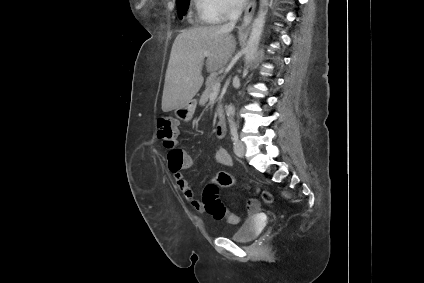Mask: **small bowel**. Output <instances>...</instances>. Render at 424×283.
Here are the masks:
<instances>
[{
	"label": "small bowel",
	"instance_id": "obj_1",
	"mask_svg": "<svg viewBox=\"0 0 424 283\" xmlns=\"http://www.w3.org/2000/svg\"><path fill=\"white\" fill-rule=\"evenodd\" d=\"M187 157L189 159V166L187 168H189L192 165V159L189 155H187ZM215 160L222 166L230 167L232 165V158L228 151L224 148L217 149ZM172 173L178 189L182 192L187 202H189L197 211L203 212V204L195 197L194 192L192 191L191 186L183 173L181 171Z\"/></svg>",
	"mask_w": 424,
	"mask_h": 283
}]
</instances>
